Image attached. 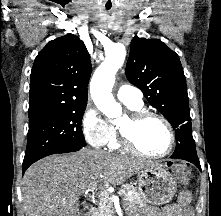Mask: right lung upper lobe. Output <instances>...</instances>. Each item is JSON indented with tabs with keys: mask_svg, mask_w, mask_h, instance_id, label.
Returning a JSON list of instances; mask_svg holds the SVG:
<instances>
[{
	"mask_svg": "<svg viewBox=\"0 0 221 216\" xmlns=\"http://www.w3.org/2000/svg\"><path fill=\"white\" fill-rule=\"evenodd\" d=\"M91 71L90 56L77 36L50 41L31 71L29 119L86 106Z\"/></svg>",
	"mask_w": 221,
	"mask_h": 216,
	"instance_id": "1",
	"label": "right lung upper lobe"
}]
</instances>
